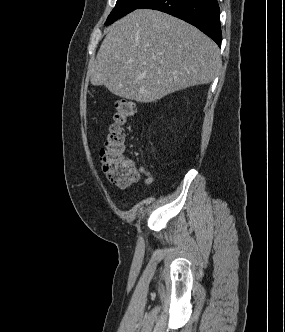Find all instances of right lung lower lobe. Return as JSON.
Here are the masks:
<instances>
[{
  "instance_id": "obj_1",
  "label": "right lung lower lobe",
  "mask_w": 285,
  "mask_h": 332,
  "mask_svg": "<svg viewBox=\"0 0 285 332\" xmlns=\"http://www.w3.org/2000/svg\"><path fill=\"white\" fill-rule=\"evenodd\" d=\"M138 8L155 9L178 17L200 29L221 46L217 0H147Z\"/></svg>"
}]
</instances>
